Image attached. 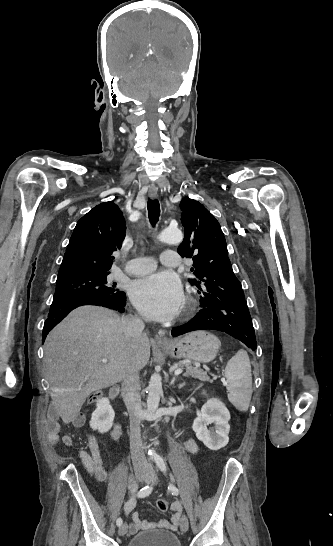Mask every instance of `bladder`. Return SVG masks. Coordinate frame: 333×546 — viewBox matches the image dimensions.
<instances>
[{
	"label": "bladder",
	"mask_w": 333,
	"mask_h": 546,
	"mask_svg": "<svg viewBox=\"0 0 333 546\" xmlns=\"http://www.w3.org/2000/svg\"><path fill=\"white\" fill-rule=\"evenodd\" d=\"M127 546H181V543L172 532L150 530L131 537Z\"/></svg>",
	"instance_id": "obj_1"
}]
</instances>
